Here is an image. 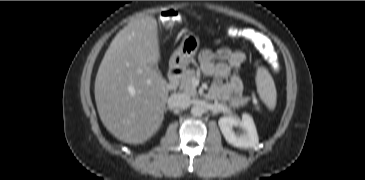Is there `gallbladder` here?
<instances>
[{
  "label": "gallbladder",
  "instance_id": "bac80fb5",
  "mask_svg": "<svg viewBox=\"0 0 365 180\" xmlns=\"http://www.w3.org/2000/svg\"><path fill=\"white\" fill-rule=\"evenodd\" d=\"M153 69L160 75V76H162V74H161V72H160V70L158 69V67L157 66H153Z\"/></svg>",
  "mask_w": 365,
  "mask_h": 180
}]
</instances>
